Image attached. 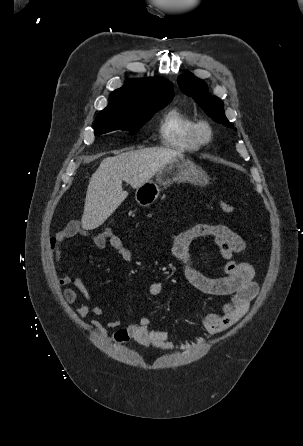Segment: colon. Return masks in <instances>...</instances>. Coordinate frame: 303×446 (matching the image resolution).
<instances>
[{
	"mask_svg": "<svg viewBox=\"0 0 303 446\" xmlns=\"http://www.w3.org/2000/svg\"><path fill=\"white\" fill-rule=\"evenodd\" d=\"M219 207L226 214H232L236 210L234 205H232V204H230L229 202H226V201H221L219 203ZM102 234L106 238H110V237H113L115 235L111 229H105L102 232Z\"/></svg>",
	"mask_w": 303,
	"mask_h": 446,
	"instance_id": "obj_1",
	"label": "colon"
}]
</instances>
